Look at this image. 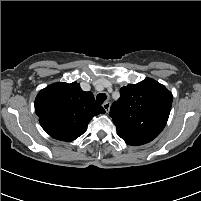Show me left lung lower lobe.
<instances>
[{
    "instance_id": "0a47b994",
    "label": "left lung lower lobe",
    "mask_w": 201,
    "mask_h": 201,
    "mask_svg": "<svg viewBox=\"0 0 201 201\" xmlns=\"http://www.w3.org/2000/svg\"><path fill=\"white\" fill-rule=\"evenodd\" d=\"M128 145H133V146H137V145H142L140 143H136V142H133V141H128V140H124Z\"/></svg>"
}]
</instances>
